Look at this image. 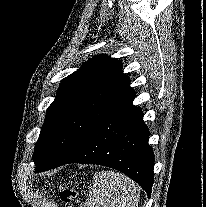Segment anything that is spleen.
Here are the masks:
<instances>
[{
  "instance_id": "3e777b00",
  "label": "spleen",
  "mask_w": 206,
  "mask_h": 207,
  "mask_svg": "<svg viewBox=\"0 0 206 207\" xmlns=\"http://www.w3.org/2000/svg\"><path fill=\"white\" fill-rule=\"evenodd\" d=\"M139 198L140 189L128 177L114 171H99L80 207H136Z\"/></svg>"
}]
</instances>
